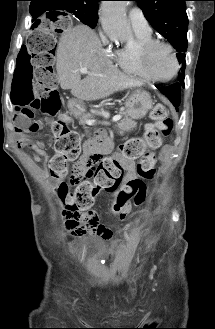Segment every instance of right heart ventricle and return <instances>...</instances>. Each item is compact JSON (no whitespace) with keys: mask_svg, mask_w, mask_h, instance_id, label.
<instances>
[{"mask_svg":"<svg viewBox=\"0 0 215 329\" xmlns=\"http://www.w3.org/2000/svg\"><path fill=\"white\" fill-rule=\"evenodd\" d=\"M136 42L114 53V58L118 65L127 73L147 79L140 68L139 51L141 46L152 40L151 33L144 34L135 32Z\"/></svg>","mask_w":215,"mask_h":329,"instance_id":"1","label":"right heart ventricle"}]
</instances>
